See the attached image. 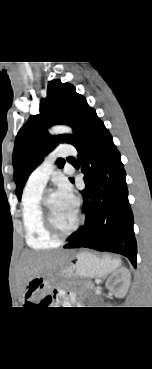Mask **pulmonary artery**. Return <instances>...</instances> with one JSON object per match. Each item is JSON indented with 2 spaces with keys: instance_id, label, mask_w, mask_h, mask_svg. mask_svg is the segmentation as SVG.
I'll return each mask as SVG.
<instances>
[{
  "instance_id": "e3ab8cb5",
  "label": "pulmonary artery",
  "mask_w": 152,
  "mask_h": 369,
  "mask_svg": "<svg viewBox=\"0 0 152 369\" xmlns=\"http://www.w3.org/2000/svg\"><path fill=\"white\" fill-rule=\"evenodd\" d=\"M76 154L72 145L62 144L49 153L44 160L31 172L26 186L31 188H44L53 170V162L60 157H68Z\"/></svg>"
}]
</instances>
